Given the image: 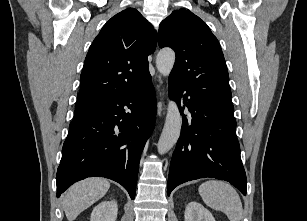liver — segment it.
Returning a JSON list of instances; mask_svg holds the SVG:
<instances>
[{
    "mask_svg": "<svg viewBox=\"0 0 307 221\" xmlns=\"http://www.w3.org/2000/svg\"><path fill=\"white\" fill-rule=\"evenodd\" d=\"M104 178H87L71 186L63 196V208L68 221H73L85 209L101 199L109 190Z\"/></svg>",
    "mask_w": 307,
    "mask_h": 221,
    "instance_id": "liver-1",
    "label": "liver"
}]
</instances>
